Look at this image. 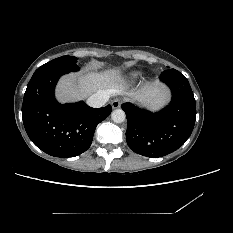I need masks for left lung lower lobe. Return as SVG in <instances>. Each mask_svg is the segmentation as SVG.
Returning a JSON list of instances; mask_svg holds the SVG:
<instances>
[{
    "mask_svg": "<svg viewBox=\"0 0 233 233\" xmlns=\"http://www.w3.org/2000/svg\"><path fill=\"white\" fill-rule=\"evenodd\" d=\"M160 79L172 92L171 103L161 111L153 113L129 102L122 104L127 117V144L135 153L147 157H161L178 149L195 124V99L186 77L169 69Z\"/></svg>",
    "mask_w": 233,
    "mask_h": 233,
    "instance_id": "0a47b994",
    "label": "left lung lower lobe"
}]
</instances>
